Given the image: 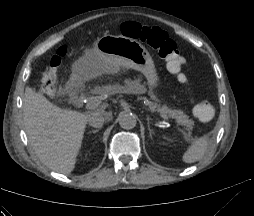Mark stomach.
<instances>
[{"instance_id": "1", "label": "stomach", "mask_w": 254, "mask_h": 216, "mask_svg": "<svg viewBox=\"0 0 254 216\" xmlns=\"http://www.w3.org/2000/svg\"><path fill=\"white\" fill-rule=\"evenodd\" d=\"M107 60L119 61L123 69L140 72L151 91L159 88L160 79L148 50L136 40L122 36L107 35L99 39L77 62L74 76L82 80L81 73L97 74Z\"/></svg>"}]
</instances>
